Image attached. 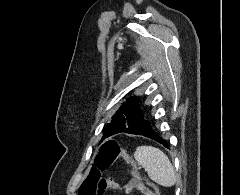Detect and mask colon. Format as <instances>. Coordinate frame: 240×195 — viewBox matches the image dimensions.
<instances>
[{
  "label": "colon",
  "mask_w": 240,
  "mask_h": 195,
  "mask_svg": "<svg viewBox=\"0 0 240 195\" xmlns=\"http://www.w3.org/2000/svg\"><path fill=\"white\" fill-rule=\"evenodd\" d=\"M117 159H124L128 166L132 167L134 176L140 183L146 182V177L140 171V168L135 165V160L131 158L130 154H121L119 144L113 139H106L100 146L96 155V168L91 169L82 184L83 190H77V195H103L100 192L101 184L104 182L100 170L109 169ZM98 168V169H97ZM112 191V190H110ZM152 192L158 191L157 185L151 186Z\"/></svg>",
  "instance_id": "5ec220e1"
}]
</instances>
